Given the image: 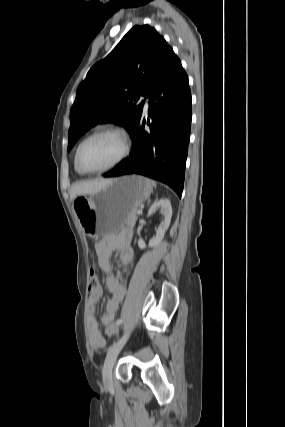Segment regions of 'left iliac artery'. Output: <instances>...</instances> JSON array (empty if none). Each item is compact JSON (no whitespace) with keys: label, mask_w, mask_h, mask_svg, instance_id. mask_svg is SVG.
Instances as JSON below:
<instances>
[{"label":"left iliac artery","mask_w":285,"mask_h":427,"mask_svg":"<svg viewBox=\"0 0 285 427\" xmlns=\"http://www.w3.org/2000/svg\"><path fill=\"white\" fill-rule=\"evenodd\" d=\"M123 321L121 320V319H119L118 321H117V324L119 325V324H121Z\"/></svg>","instance_id":"44dca946"}]
</instances>
